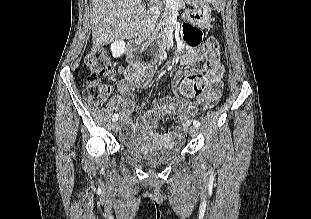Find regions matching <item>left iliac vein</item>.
<instances>
[{"instance_id": "left-iliac-vein-1", "label": "left iliac vein", "mask_w": 311, "mask_h": 219, "mask_svg": "<svg viewBox=\"0 0 311 219\" xmlns=\"http://www.w3.org/2000/svg\"><path fill=\"white\" fill-rule=\"evenodd\" d=\"M189 134L191 137H196L198 135V128L195 126H191L189 129Z\"/></svg>"}]
</instances>
